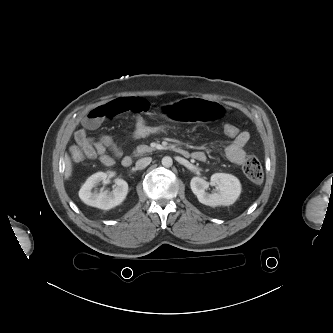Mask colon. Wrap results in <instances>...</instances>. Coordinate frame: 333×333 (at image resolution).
I'll return each mask as SVG.
<instances>
[{"mask_svg": "<svg viewBox=\"0 0 333 333\" xmlns=\"http://www.w3.org/2000/svg\"><path fill=\"white\" fill-rule=\"evenodd\" d=\"M177 129L172 122L169 121H140L135 122L134 127L130 131V137L135 140H143L156 136L169 135ZM224 133L229 138L234 139L240 133L239 128L233 124H225ZM71 156L74 161L82 162L85 155L78 148L71 149ZM243 171L246 177L253 183H260L263 180V169L258 158L249 155L243 163Z\"/></svg>", "mask_w": 333, "mask_h": 333, "instance_id": "colon-1", "label": "colon"}]
</instances>
